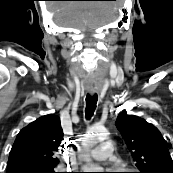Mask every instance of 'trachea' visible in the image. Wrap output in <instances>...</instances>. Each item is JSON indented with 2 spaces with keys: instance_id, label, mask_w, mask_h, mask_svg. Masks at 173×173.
I'll return each instance as SVG.
<instances>
[{
  "instance_id": "3493384b",
  "label": "trachea",
  "mask_w": 173,
  "mask_h": 173,
  "mask_svg": "<svg viewBox=\"0 0 173 173\" xmlns=\"http://www.w3.org/2000/svg\"><path fill=\"white\" fill-rule=\"evenodd\" d=\"M98 96L95 95H89L86 96V108H85V115L86 119L89 120L94 114L96 104H97Z\"/></svg>"
}]
</instances>
